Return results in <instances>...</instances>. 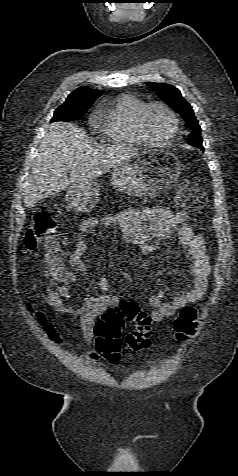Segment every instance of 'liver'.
<instances>
[{"instance_id":"liver-1","label":"liver","mask_w":238,"mask_h":476,"mask_svg":"<svg viewBox=\"0 0 238 476\" xmlns=\"http://www.w3.org/2000/svg\"><path fill=\"white\" fill-rule=\"evenodd\" d=\"M137 152L136 148L122 144L99 146L75 124L55 122L48 126L40 144L24 204L33 208L42 199L68 187L90 182Z\"/></svg>"}]
</instances>
